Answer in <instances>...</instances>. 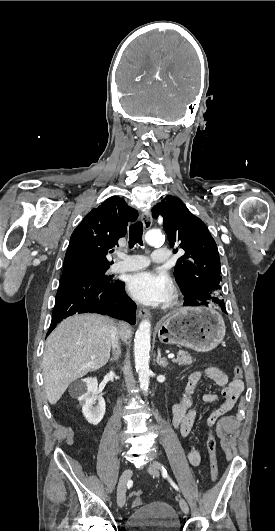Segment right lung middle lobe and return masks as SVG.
<instances>
[{"label": "right lung middle lobe", "instance_id": "dd1d6c3e", "mask_svg": "<svg viewBox=\"0 0 275 531\" xmlns=\"http://www.w3.org/2000/svg\"><path fill=\"white\" fill-rule=\"evenodd\" d=\"M110 266H92V265H84V266H78L71 268L69 270H64L62 277L68 276V275H75V274H81L90 276L96 280H99L100 282L108 283L112 282V279L110 276L105 275V272L109 269Z\"/></svg>", "mask_w": 275, "mask_h": 531}]
</instances>
